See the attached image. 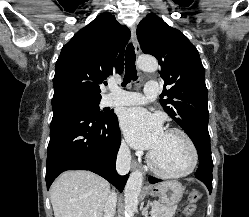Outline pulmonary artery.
<instances>
[{
	"label": "pulmonary artery",
	"mask_w": 249,
	"mask_h": 217,
	"mask_svg": "<svg viewBox=\"0 0 249 217\" xmlns=\"http://www.w3.org/2000/svg\"><path fill=\"white\" fill-rule=\"evenodd\" d=\"M158 84L156 82L149 81L144 87V93L130 92V91H118L115 95H112L108 99V105L110 106H129L144 104L148 101H153L158 96Z\"/></svg>",
	"instance_id": "pulmonary-artery-1"
}]
</instances>
